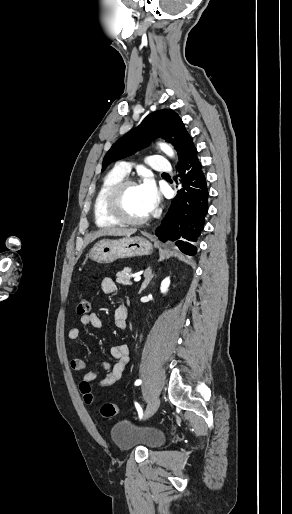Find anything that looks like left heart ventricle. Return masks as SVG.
<instances>
[{"instance_id": "left-heart-ventricle-1", "label": "left heart ventricle", "mask_w": 292, "mask_h": 514, "mask_svg": "<svg viewBox=\"0 0 292 514\" xmlns=\"http://www.w3.org/2000/svg\"><path fill=\"white\" fill-rule=\"evenodd\" d=\"M119 210L128 218H140L148 213L138 187L127 188L121 193Z\"/></svg>"}]
</instances>
